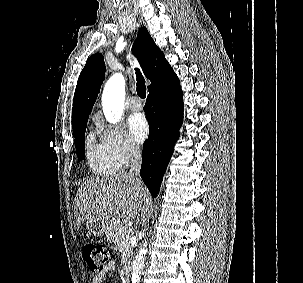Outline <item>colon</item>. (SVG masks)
I'll list each match as a JSON object with an SVG mask.
<instances>
[{"mask_svg":"<svg viewBox=\"0 0 303 283\" xmlns=\"http://www.w3.org/2000/svg\"><path fill=\"white\" fill-rule=\"evenodd\" d=\"M82 257L93 272H100L110 259L108 246L99 243H88L82 249Z\"/></svg>","mask_w":303,"mask_h":283,"instance_id":"obj_1","label":"colon"}]
</instances>
